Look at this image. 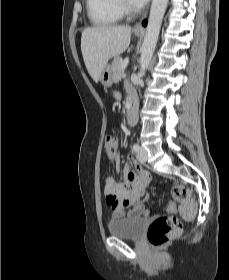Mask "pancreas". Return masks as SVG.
I'll return each mask as SVG.
<instances>
[{
    "mask_svg": "<svg viewBox=\"0 0 229 280\" xmlns=\"http://www.w3.org/2000/svg\"><path fill=\"white\" fill-rule=\"evenodd\" d=\"M122 62H123V59L121 57L117 56L114 58V60L111 64L114 82H118L124 73V69H122V67H121Z\"/></svg>",
    "mask_w": 229,
    "mask_h": 280,
    "instance_id": "1",
    "label": "pancreas"
}]
</instances>
